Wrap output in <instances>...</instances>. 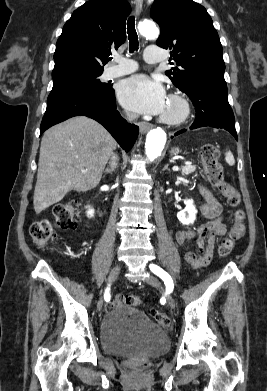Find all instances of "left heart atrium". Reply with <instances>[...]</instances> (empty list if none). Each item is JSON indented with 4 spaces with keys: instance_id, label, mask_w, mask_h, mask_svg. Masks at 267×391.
Instances as JSON below:
<instances>
[{
    "instance_id": "obj_1",
    "label": "left heart atrium",
    "mask_w": 267,
    "mask_h": 391,
    "mask_svg": "<svg viewBox=\"0 0 267 391\" xmlns=\"http://www.w3.org/2000/svg\"><path fill=\"white\" fill-rule=\"evenodd\" d=\"M118 98L125 108L141 114H160L167 104L162 84L146 75H135L121 82Z\"/></svg>"
}]
</instances>
